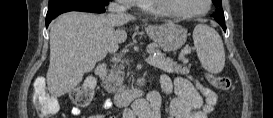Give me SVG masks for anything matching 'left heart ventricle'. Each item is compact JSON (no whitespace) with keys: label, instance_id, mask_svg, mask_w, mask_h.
Masks as SVG:
<instances>
[{"label":"left heart ventricle","instance_id":"obj_1","mask_svg":"<svg viewBox=\"0 0 273 118\" xmlns=\"http://www.w3.org/2000/svg\"><path fill=\"white\" fill-rule=\"evenodd\" d=\"M175 7L186 13L202 11L206 7L205 0H173Z\"/></svg>","mask_w":273,"mask_h":118}]
</instances>
